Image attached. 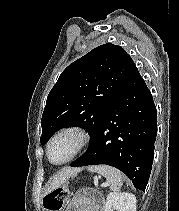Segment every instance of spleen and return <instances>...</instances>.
<instances>
[{
  "label": "spleen",
  "instance_id": "spleen-1",
  "mask_svg": "<svg viewBox=\"0 0 179 211\" xmlns=\"http://www.w3.org/2000/svg\"><path fill=\"white\" fill-rule=\"evenodd\" d=\"M90 172H95L106 178V185L113 193L120 191L123 184V176L119 170L111 166L100 165L88 168Z\"/></svg>",
  "mask_w": 179,
  "mask_h": 211
}]
</instances>
